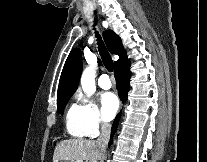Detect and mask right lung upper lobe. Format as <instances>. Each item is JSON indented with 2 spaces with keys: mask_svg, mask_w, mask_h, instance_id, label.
I'll return each instance as SVG.
<instances>
[{
  "mask_svg": "<svg viewBox=\"0 0 207 162\" xmlns=\"http://www.w3.org/2000/svg\"><path fill=\"white\" fill-rule=\"evenodd\" d=\"M103 38L110 53L119 56V59L114 63V69L128 61L121 39L113 31H105L103 33ZM81 71V52L78 48H75L70 52L65 62L60 78L57 100L74 94Z\"/></svg>",
  "mask_w": 207,
  "mask_h": 162,
  "instance_id": "cb5924a9",
  "label": "right lung upper lobe"
}]
</instances>
